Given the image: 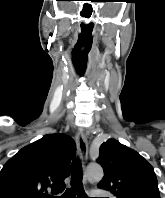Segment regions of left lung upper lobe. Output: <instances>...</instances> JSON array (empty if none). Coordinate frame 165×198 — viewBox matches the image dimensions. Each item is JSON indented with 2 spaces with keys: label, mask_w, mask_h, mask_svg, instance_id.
I'll list each match as a JSON object with an SVG mask.
<instances>
[{
  "label": "left lung upper lobe",
  "mask_w": 165,
  "mask_h": 198,
  "mask_svg": "<svg viewBox=\"0 0 165 198\" xmlns=\"http://www.w3.org/2000/svg\"><path fill=\"white\" fill-rule=\"evenodd\" d=\"M105 175L98 187L117 198H160L153 167L136 151L115 139L100 146L97 159Z\"/></svg>",
  "instance_id": "left-lung-upper-lobe-1"
}]
</instances>
